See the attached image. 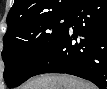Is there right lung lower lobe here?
I'll return each instance as SVG.
<instances>
[{"instance_id": "obj_1", "label": "right lung lower lobe", "mask_w": 107, "mask_h": 89, "mask_svg": "<svg viewBox=\"0 0 107 89\" xmlns=\"http://www.w3.org/2000/svg\"><path fill=\"white\" fill-rule=\"evenodd\" d=\"M62 37L35 75L66 73L107 87V1L79 0Z\"/></svg>"}]
</instances>
